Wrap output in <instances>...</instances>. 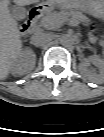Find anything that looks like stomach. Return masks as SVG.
<instances>
[{
	"instance_id": "0dacf381",
	"label": "stomach",
	"mask_w": 104,
	"mask_h": 137,
	"mask_svg": "<svg viewBox=\"0 0 104 137\" xmlns=\"http://www.w3.org/2000/svg\"><path fill=\"white\" fill-rule=\"evenodd\" d=\"M103 0H78L74 3L61 6L62 8H78L93 15L99 14L103 8Z\"/></svg>"
}]
</instances>
